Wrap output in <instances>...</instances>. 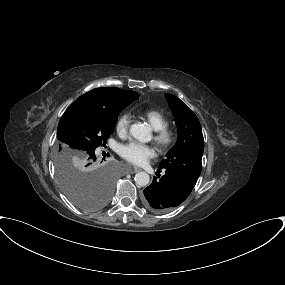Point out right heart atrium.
Instances as JSON below:
<instances>
[{
	"label": "right heart atrium",
	"mask_w": 285,
	"mask_h": 285,
	"mask_svg": "<svg viewBox=\"0 0 285 285\" xmlns=\"http://www.w3.org/2000/svg\"><path fill=\"white\" fill-rule=\"evenodd\" d=\"M131 124V117L128 114H122L118 117L115 123V130L118 135L124 137L128 134Z\"/></svg>",
	"instance_id": "1"
}]
</instances>
